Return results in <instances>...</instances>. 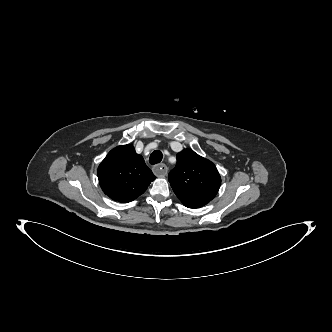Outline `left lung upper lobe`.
I'll return each instance as SVG.
<instances>
[{
  "instance_id": "left-lung-upper-lobe-1",
  "label": "left lung upper lobe",
  "mask_w": 332,
  "mask_h": 332,
  "mask_svg": "<svg viewBox=\"0 0 332 332\" xmlns=\"http://www.w3.org/2000/svg\"><path fill=\"white\" fill-rule=\"evenodd\" d=\"M168 178L174 193L188 208H199L209 203L221 184L215 165L190 149L177 154L176 166Z\"/></svg>"
}]
</instances>
